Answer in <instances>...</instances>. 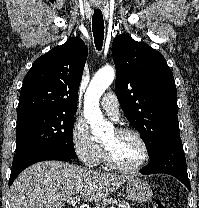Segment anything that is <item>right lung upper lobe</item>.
Returning <instances> with one entry per match:
<instances>
[{"instance_id":"cb5924a9","label":"right lung upper lobe","mask_w":199,"mask_h":208,"mask_svg":"<svg viewBox=\"0 0 199 208\" xmlns=\"http://www.w3.org/2000/svg\"><path fill=\"white\" fill-rule=\"evenodd\" d=\"M87 54L85 43L79 37H72L39 57L23 80L18 111L76 112Z\"/></svg>"}]
</instances>
